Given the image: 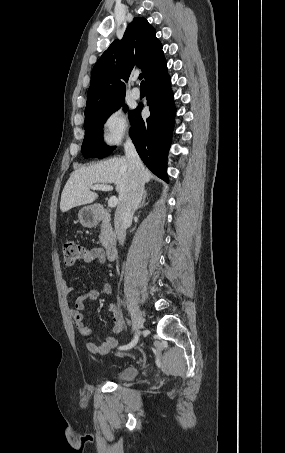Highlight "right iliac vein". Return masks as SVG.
<instances>
[{"instance_id": "1", "label": "right iliac vein", "mask_w": 285, "mask_h": 453, "mask_svg": "<svg viewBox=\"0 0 285 453\" xmlns=\"http://www.w3.org/2000/svg\"><path fill=\"white\" fill-rule=\"evenodd\" d=\"M129 307L132 318V330L136 332L143 326L142 313L137 303L133 300L130 301Z\"/></svg>"}]
</instances>
